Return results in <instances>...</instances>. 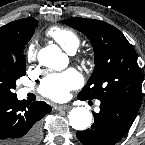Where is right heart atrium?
Listing matches in <instances>:
<instances>
[{"mask_svg":"<svg viewBox=\"0 0 145 145\" xmlns=\"http://www.w3.org/2000/svg\"><path fill=\"white\" fill-rule=\"evenodd\" d=\"M26 55H27V59L30 60V61L35 59V57L37 55V45H36V43H32L28 46Z\"/></svg>","mask_w":145,"mask_h":145,"instance_id":"obj_1","label":"right heart atrium"}]
</instances>
